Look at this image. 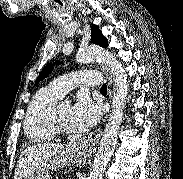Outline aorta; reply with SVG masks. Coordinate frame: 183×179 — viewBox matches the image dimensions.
<instances>
[{
	"mask_svg": "<svg viewBox=\"0 0 183 179\" xmlns=\"http://www.w3.org/2000/svg\"><path fill=\"white\" fill-rule=\"evenodd\" d=\"M100 60L106 63L114 76V93L112 110L103 132L100 146L96 153L93 170L88 179H103L107 164L115 149L117 137L124 115V107L128 94L127 75L122 68L121 62L108 50L98 46H89L80 50L76 55L77 63H88Z\"/></svg>",
	"mask_w": 183,
	"mask_h": 179,
	"instance_id": "762f6f07",
	"label": "aorta"
}]
</instances>
